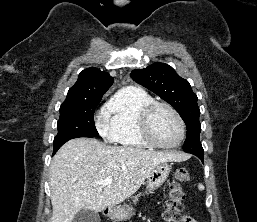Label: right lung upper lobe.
I'll return each mask as SVG.
<instances>
[{
	"label": "right lung upper lobe",
	"mask_w": 257,
	"mask_h": 222,
	"mask_svg": "<svg viewBox=\"0 0 257 222\" xmlns=\"http://www.w3.org/2000/svg\"><path fill=\"white\" fill-rule=\"evenodd\" d=\"M113 81L107 72L94 67L87 68L80 72L76 83L69 89L66 100L102 97Z\"/></svg>",
	"instance_id": "right-lung-upper-lobe-1"
}]
</instances>
